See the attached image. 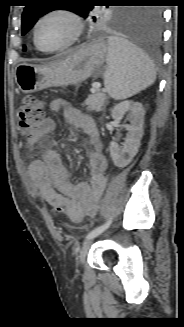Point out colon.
<instances>
[{"label": "colon", "instance_id": "obj_1", "mask_svg": "<svg viewBox=\"0 0 184 327\" xmlns=\"http://www.w3.org/2000/svg\"><path fill=\"white\" fill-rule=\"evenodd\" d=\"M44 116L43 104L34 97H25L18 108V123L23 133H32L41 123ZM55 212H62L60 207H52ZM97 206L88 208L86 216L93 218L97 214Z\"/></svg>", "mask_w": 184, "mask_h": 327}]
</instances>
